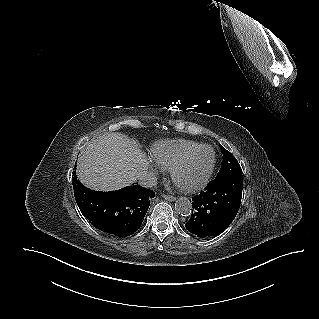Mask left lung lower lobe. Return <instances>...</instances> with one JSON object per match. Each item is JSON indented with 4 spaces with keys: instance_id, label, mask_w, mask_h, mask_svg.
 I'll return each instance as SVG.
<instances>
[{
    "instance_id": "left-lung-lower-lobe-1",
    "label": "left lung lower lobe",
    "mask_w": 319,
    "mask_h": 319,
    "mask_svg": "<svg viewBox=\"0 0 319 319\" xmlns=\"http://www.w3.org/2000/svg\"><path fill=\"white\" fill-rule=\"evenodd\" d=\"M242 190V175L230 174L209 182L204 191L192 199L194 213L185 224L188 231L203 238L222 233L239 210Z\"/></svg>"
}]
</instances>
